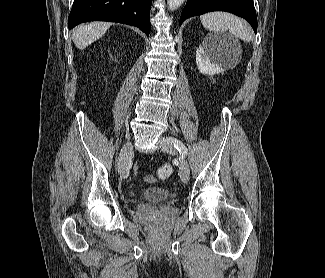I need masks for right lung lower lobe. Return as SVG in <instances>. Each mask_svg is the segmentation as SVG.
Returning <instances> with one entry per match:
<instances>
[{"label":"right lung lower lobe","instance_id":"right-lung-lower-lobe-1","mask_svg":"<svg viewBox=\"0 0 325 278\" xmlns=\"http://www.w3.org/2000/svg\"><path fill=\"white\" fill-rule=\"evenodd\" d=\"M152 0H74L68 28L88 21H111L138 27L150 33Z\"/></svg>","mask_w":325,"mask_h":278}]
</instances>
